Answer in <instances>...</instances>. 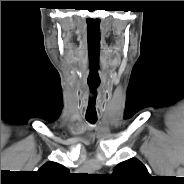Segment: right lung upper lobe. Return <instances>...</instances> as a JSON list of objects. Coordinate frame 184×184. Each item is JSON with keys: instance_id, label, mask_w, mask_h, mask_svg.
Returning a JSON list of instances; mask_svg holds the SVG:
<instances>
[{"instance_id": "right-lung-upper-lobe-1", "label": "right lung upper lobe", "mask_w": 184, "mask_h": 184, "mask_svg": "<svg viewBox=\"0 0 184 184\" xmlns=\"http://www.w3.org/2000/svg\"><path fill=\"white\" fill-rule=\"evenodd\" d=\"M38 172L47 182L60 183L65 181V178L69 174V170L55 162H47L44 164Z\"/></svg>"}]
</instances>
